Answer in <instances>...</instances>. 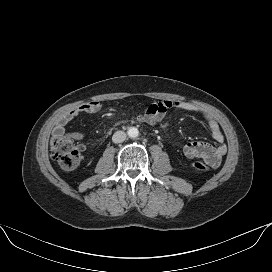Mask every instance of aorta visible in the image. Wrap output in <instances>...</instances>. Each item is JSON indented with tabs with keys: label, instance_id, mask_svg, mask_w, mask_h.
Listing matches in <instances>:
<instances>
[{
	"label": "aorta",
	"instance_id": "762f6f07",
	"mask_svg": "<svg viewBox=\"0 0 272 272\" xmlns=\"http://www.w3.org/2000/svg\"><path fill=\"white\" fill-rule=\"evenodd\" d=\"M127 134L130 138H136L139 134V131L136 127H130L127 131Z\"/></svg>",
	"mask_w": 272,
	"mask_h": 272
}]
</instances>
